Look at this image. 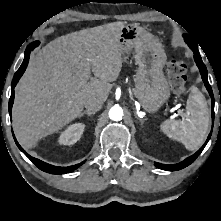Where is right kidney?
Here are the masks:
<instances>
[{
    "label": "right kidney",
    "mask_w": 221,
    "mask_h": 221,
    "mask_svg": "<svg viewBox=\"0 0 221 221\" xmlns=\"http://www.w3.org/2000/svg\"><path fill=\"white\" fill-rule=\"evenodd\" d=\"M84 127L85 125L82 123L70 125L67 129L61 132L58 138V143L63 145H72L76 143L80 139Z\"/></svg>",
    "instance_id": "obj_1"
}]
</instances>
